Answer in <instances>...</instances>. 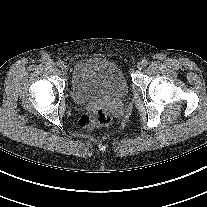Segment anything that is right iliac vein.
I'll return each instance as SVG.
<instances>
[{"instance_id": "obj_1", "label": "right iliac vein", "mask_w": 207, "mask_h": 207, "mask_svg": "<svg viewBox=\"0 0 207 207\" xmlns=\"http://www.w3.org/2000/svg\"><path fill=\"white\" fill-rule=\"evenodd\" d=\"M61 70H62L63 74H67L68 73V66L67 65H63Z\"/></svg>"}]
</instances>
